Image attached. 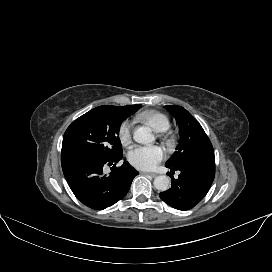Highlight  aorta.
Wrapping results in <instances>:
<instances>
[{
	"label": "aorta",
	"mask_w": 272,
	"mask_h": 272,
	"mask_svg": "<svg viewBox=\"0 0 272 272\" xmlns=\"http://www.w3.org/2000/svg\"><path fill=\"white\" fill-rule=\"evenodd\" d=\"M133 139L141 144H151L155 141V137L151 128L142 126L134 131ZM170 186V179L165 175L157 176L154 179V187L159 191H166Z\"/></svg>",
	"instance_id": "obj_1"
}]
</instances>
